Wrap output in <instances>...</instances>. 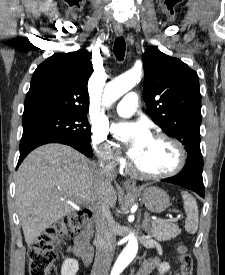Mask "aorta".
<instances>
[{
	"mask_svg": "<svg viewBox=\"0 0 225 275\" xmlns=\"http://www.w3.org/2000/svg\"><path fill=\"white\" fill-rule=\"evenodd\" d=\"M141 77V69H131L109 82L104 89L102 104L105 107H110L122 95L127 93L137 83H139ZM127 240L128 243L115 262L111 275H120V273L131 263L137 254L138 241L133 232L127 236Z\"/></svg>",
	"mask_w": 225,
	"mask_h": 275,
	"instance_id": "aorta-1",
	"label": "aorta"
}]
</instances>
